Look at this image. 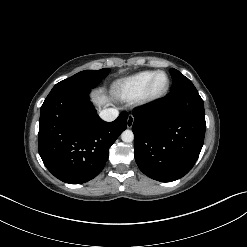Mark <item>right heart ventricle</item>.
I'll return each instance as SVG.
<instances>
[{
    "label": "right heart ventricle",
    "mask_w": 247,
    "mask_h": 247,
    "mask_svg": "<svg viewBox=\"0 0 247 247\" xmlns=\"http://www.w3.org/2000/svg\"><path fill=\"white\" fill-rule=\"evenodd\" d=\"M155 73L152 70L142 71L120 79L113 84V92L125 101L140 98Z\"/></svg>",
    "instance_id": "obj_1"
}]
</instances>
